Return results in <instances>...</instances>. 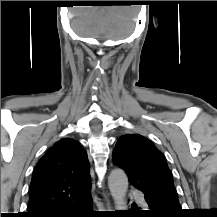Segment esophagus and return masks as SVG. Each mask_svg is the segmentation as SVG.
<instances>
[{
    "instance_id": "obj_1",
    "label": "esophagus",
    "mask_w": 217,
    "mask_h": 217,
    "mask_svg": "<svg viewBox=\"0 0 217 217\" xmlns=\"http://www.w3.org/2000/svg\"><path fill=\"white\" fill-rule=\"evenodd\" d=\"M107 206H108V207L110 206L109 202H107Z\"/></svg>"
}]
</instances>
